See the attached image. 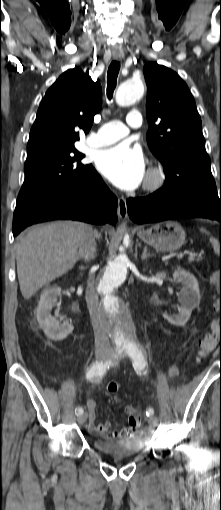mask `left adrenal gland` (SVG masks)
Here are the masks:
<instances>
[{"instance_id": "obj_1", "label": "left adrenal gland", "mask_w": 221, "mask_h": 510, "mask_svg": "<svg viewBox=\"0 0 221 510\" xmlns=\"http://www.w3.org/2000/svg\"><path fill=\"white\" fill-rule=\"evenodd\" d=\"M152 256H153L152 254L148 253V249H147V247H144V249H143V253H142V256H141V259H142V260H145V259H147L148 257H152Z\"/></svg>"}]
</instances>
